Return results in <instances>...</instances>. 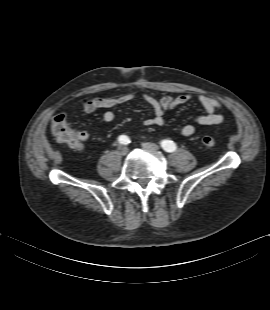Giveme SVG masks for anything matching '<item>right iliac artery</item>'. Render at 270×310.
Segmentation results:
<instances>
[{
  "label": "right iliac artery",
  "instance_id": "right-iliac-artery-1",
  "mask_svg": "<svg viewBox=\"0 0 270 310\" xmlns=\"http://www.w3.org/2000/svg\"><path fill=\"white\" fill-rule=\"evenodd\" d=\"M118 141L121 144H128L130 142V139L126 135H120Z\"/></svg>",
  "mask_w": 270,
  "mask_h": 310
}]
</instances>
